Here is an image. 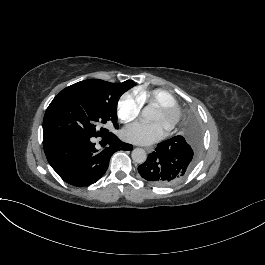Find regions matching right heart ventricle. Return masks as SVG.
<instances>
[{
	"mask_svg": "<svg viewBox=\"0 0 265 265\" xmlns=\"http://www.w3.org/2000/svg\"><path fill=\"white\" fill-rule=\"evenodd\" d=\"M137 96L141 99L143 104L152 105L155 108L157 106L174 103L176 104V100L171 93L165 91L163 89H156L153 91L147 90H137Z\"/></svg>",
	"mask_w": 265,
	"mask_h": 265,
	"instance_id": "right-heart-ventricle-1",
	"label": "right heart ventricle"
}]
</instances>
